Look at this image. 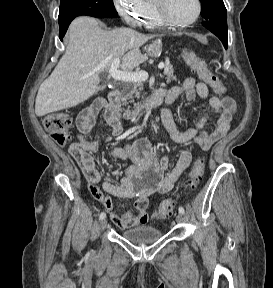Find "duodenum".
Returning <instances> with one entry per match:
<instances>
[{
    "instance_id": "410a0bca",
    "label": "duodenum",
    "mask_w": 273,
    "mask_h": 288,
    "mask_svg": "<svg viewBox=\"0 0 273 288\" xmlns=\"http://www.w3.org/2000/svg\"><path fill=\"white\" fill-rule=\"evenodd\" d=\"M167 103V97L164 90H157L153 92L150 97L137 105L136 107L124 112L121 109L120 92L117 89L109 91L107 96V110L106 114L111 117L124 118L128 121H133L141 118L150 110L152 105H159L161 103ZM162 121L165 122L168 119L167 113H161Z\"/></svg>"
}]
</instances>
